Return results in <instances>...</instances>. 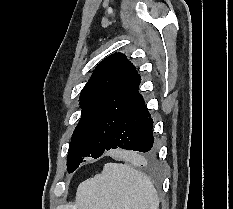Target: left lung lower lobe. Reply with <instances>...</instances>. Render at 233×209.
<instances>
[{"mask_svg":"<svg viewBox=\"0 0 233 209\" xmlns=\"http://www.w3.org/2000/svg\"><path fill=\"white\" fill-rule=\"evenodd\" d=\"M152 127L153 121L143 97L138 94L131 107L112 131L105 151L122 148L146 152L148 161H152L154 159Z\"/></svg>","mask_w":233,"mask_h":209,"instance_id":"0a47b994","label":"left lung lower lobe"}]
</instances>
